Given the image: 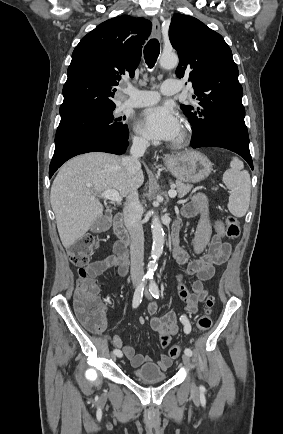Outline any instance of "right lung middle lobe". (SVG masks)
Wrapping results in <instances>:
<instances>
[{"label":"right lung middle lobe","mask_w":283,"mask_h":434,"mask_svg":"<svg viewBox=\"0 0 283 434\" xmlns=\"http://www.w3.org/2000/svg\"><path fill=\"white\" fill-rule=\"evenodd\" d=\"M114 109L61 117L55 136V146L74 137L97 132L113 133L127 138L128 126L120 122L121 117L114 118Z\"/></svg>","instance_id":"1"}]
</instances>
